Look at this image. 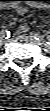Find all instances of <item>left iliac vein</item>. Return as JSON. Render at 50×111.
<instances>
[{
  "instance_id": "4c4485c4",
  "label": "left iliac vein",
  "mask_w": 50,
  "mask_h": 111,
  "mask_svg": "<svg viewBox=\"0 0 50 111\" xmlns=\"http://www.w3.org/2000/svg\"><path fill=\"white\" fill-rule=\"evenodd\" d=\"M31 36L35 37L38 42L43 43V38L40 35L31 33Z\"/></svg>"
}]
</instances>
